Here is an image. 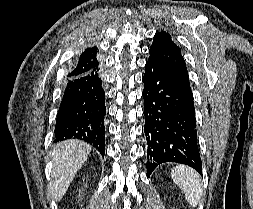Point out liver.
<instances>
[{"instance_id":"6515ba94","label":"liver","mask_w":253,"mask_h":209,"mask_svg":"<svg viewBox=\"0 0 253 209\" xmlns=\"http://www.w3.org/2000/svg\"><path fill=\"white\" fill-rule=\"evenodd\" d=\"M90 152L91 146L80 140H66L54 147L49 185L52 198L56 201L62 199Z\"/></svg>"}]
</instances>
